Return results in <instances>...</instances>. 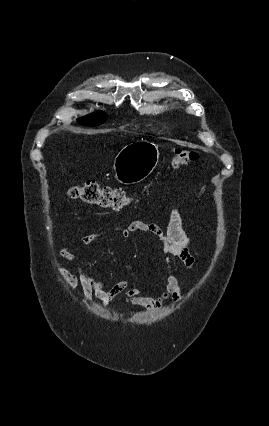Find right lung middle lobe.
<instances>
[{
  "mask_svg": "<svg viewBox=\"0 0 269 426\" xmlns=\"http://www.w3.org/2000/svg\"><path fill=\"white\" fill-rule=\"evenodd\" d=\"M107 120V115L105 113H93L85 117L77 119V121L83 125L87 126H97L104 123Z\"/></svg>",
  "mask_w": 269,
  "mask_h": 426,
  "instance_id": "obj_1",
  "label": "right lung middle lobe"
}]
</instances>
